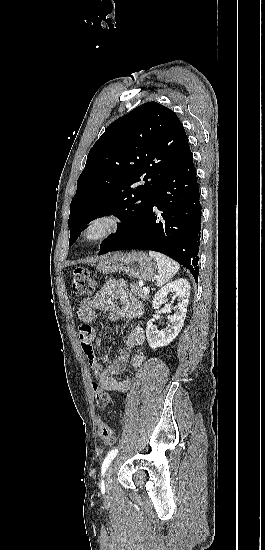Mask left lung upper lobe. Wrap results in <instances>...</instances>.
<instances>
[{
    "mask_svg": "<svg viewBox=\"0 0 265 550\" xmlns=\"http://www.w3.org/2000/svg\"><path fill=\"white\" fill-rule=\"evenodd\" d=\"M188 147L177 115L157 102L140 105L114 121L90 150L78 178L70 207L69 245L91 220L108 214L117 216L122 227L102 245L126 235Z\"/></svg>",
    "mask_w": 265,
    "mask_h": 550,
    "instance_id": "left-lung-upper-lobe-1",
    "label": "left lung upper lobe"
}]
</instances>
